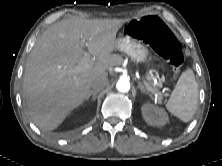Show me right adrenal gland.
<instances>
[{"instance_id":"right-adrenal-gland-1","label":"right adrenal gland","mask_w":222,"mask_h":166,"mask_svg":"<svg viewBox=\"0 0 222 166\" xmlns=\"http://www.w3.org/2000/svg\"><path fill=\"white\" fill-rule=\"evenodd\" d=\"M96 95H97V92L91 91L89 93V95L87 96L86 101L90 98V96H92V100L95 101L96 100Z\"/></svg>"}]
</instances>
